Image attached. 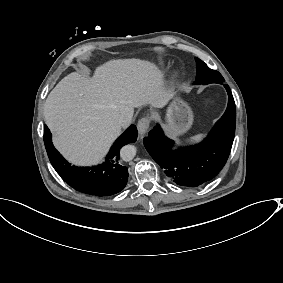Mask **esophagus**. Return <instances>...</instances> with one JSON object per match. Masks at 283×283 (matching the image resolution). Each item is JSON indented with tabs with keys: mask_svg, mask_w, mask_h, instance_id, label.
<instances>
[{
	"mask_svg": "<svg viewBox=\"0 0 283 283\" xmlns=\"http://www.w3.org/2000/svg\"><path fill=\"white\" fill-rule=\"evenodd\" d=\"M151 123V119L148 116L142 117L139 122L137 123V129L139 132V135H144L146 130L148 129L149 125Z\"/></svg>",
	"mask_w": 283,
	"mask_h": 283,
	"instance_id": "obj_1",
	"label": "esophagus"
}]
</instances>
